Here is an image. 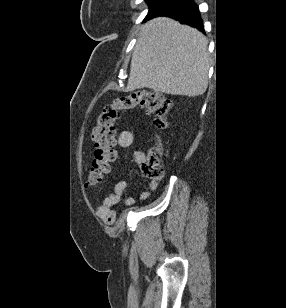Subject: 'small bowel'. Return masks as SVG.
<instances>
[{"mask_svg": "<svg viewBox=\"0 0 286 308\" xmlns=\"http://www.w3.org/2000/svg\"><path fill=\"white\" fill-rule=\"evenodd\" d=\"M139 131L137 130H124L120 133L118 138V146L121 149H127L129 148L135 138L137 137ZM134 158L137 163H142L145 159V154L141 150H136L134 152ZM126 188V182L125 181H119L117 182L111 193L106 196L100 203L98 207V214L99 216L106 222V223H112L115 219V212L113 210V207L121 200V198L124 195ZM157 188L156 183L150 184V190L153 191ZM150 196V191H144L141 194V199H147ZM134 203V199L132 197H126L125 198V204L126 205H132Z\"/></svg>", "mask_w": 286, "mask_h": 308, "instance_id": "small-bowel-1", "label": "small bowel"}]
</instances>
